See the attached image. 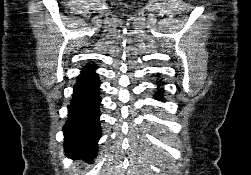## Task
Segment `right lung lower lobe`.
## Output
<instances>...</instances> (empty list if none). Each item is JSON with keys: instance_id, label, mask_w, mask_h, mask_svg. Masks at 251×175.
I'll list each match as a JSON object with an SVG mask.
<instances>
[{"instance_id": "1", "label": "right lung lower lobe", "mask_w": 251, "mask_h": 175, "mask_svg": "<svg viewBox=\"0 0 251 175\" xmlns=\"http://www.w3.org/2000/svg\"><path fill=\"white\" fill-rule=\"evenodd\" d=\"M96 66L83 67L74 86V95L68 106V120L63 127L65 153L92 162L97 155V144L101 137L99 112L100 81Z\"/></svg>"}]
</instances>
